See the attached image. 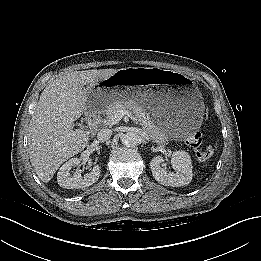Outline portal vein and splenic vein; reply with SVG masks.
<instances>
[{
    "instance_id": "obj_1",
    "label": "portal vein and splenic vein",
    "mask_w": 261,
    "mask_h": 261,
    "mask_svg": "<svg viewBox=\"0 0 261 261\" xmlns=\"http://www.w3.org/2000/svg\"><path fill=\"white\" fill-rule=\"evenodd\" d=\"M124 116L132 118V120L137 123L136 117H134L128 110L123 109L117 110L108 120H105L104 123L106 125H114L118 123Z\"/></svg>"
}]
</instances>
